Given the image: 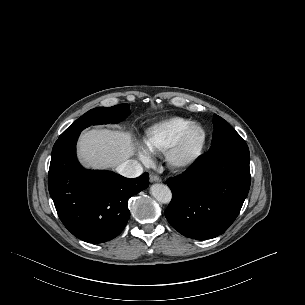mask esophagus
I'll list each match as a JSON object with an SVG mask.
<instances>
[{
    "label": "esophagus",
    "mask_w": 305,
    "mask_h": 305,
    "mask_svg": "<svg viewBox=\"0 0 305 305\" xmlns=\"http://www.w3.org/2000/svg\"><path fill=\"white\" fill-rule=\"evenodd\" d=\"M150 182H161V178L155 174L150 175Z\"/></svg>",
    "instance_id": "obj_1"
}]
</instances>
